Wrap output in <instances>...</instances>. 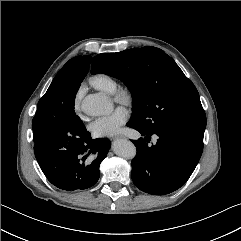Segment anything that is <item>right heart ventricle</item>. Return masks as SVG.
<instances>
[{"mask_svg": "<svg viewBox=\"0 0 241 241\" xmlns=\"http://www.w3.org/2000/svg\"><path fill=\"white\" fill-rule=\"evenodd\" d=\"M89 82L92 87L106 94H113L118 88L117 80L107 73H96L90 77Z\"/></svg>", "mask_w": 241, "mask_h": 241, "instance_id": "1", "label": "right heart ventricle"}]
</instances>
